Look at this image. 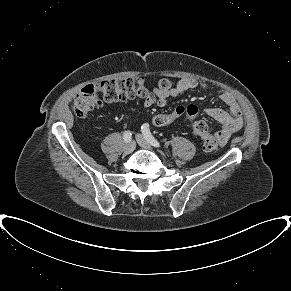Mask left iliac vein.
<instances>
[{"mask_svg":"<svg viewBox=\"0 0 291 291\" xmlns=\"http://www.w3.org/2000/svg\"><path fill=\"white\" fill-rule=\"evenodd\" d=\"M137 143L144 149H151V144L141 134L136 135Z\"/></svg>","mask_w":291,"mask_h":291,"instance_id":"1","label":"left iliac vein"}]
</instances>
